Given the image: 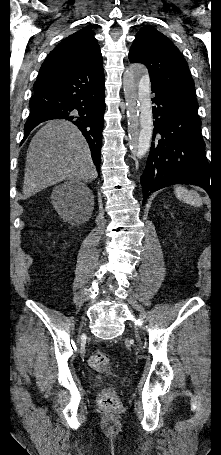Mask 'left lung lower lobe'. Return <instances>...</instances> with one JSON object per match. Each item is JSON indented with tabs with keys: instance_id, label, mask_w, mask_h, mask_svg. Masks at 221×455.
Listing matches in <instances>:
<instances>
[{
	"instance_id": "0a47b994",
	"label": "left lung lower lobe",
	"mask_w": 221,
	"mask_h": 455,
	"mask_svg": "<svg viewBox=\"0 0 221 455\" xmlns=\"http://www.w3.org/2000/svg\"><path fill=\"white\" fill-rule=\"evenodd\" d=\"M154 131L146 168L141 176L143 204L153 192L178 183L211 191L209 164L201 136L197 106L151 85Z\"/></svg>"
}]
</instances>
